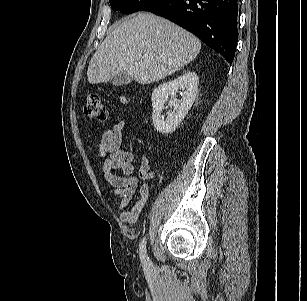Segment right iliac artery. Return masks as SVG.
<instances>
[{
    "label": "right iliac artery",
    "instance_id": "82829eb1",
    "mask_svg": "<svg viewBox=\"0 0 307 301\" xmlns=\"http://www.w3.org/2000/svg\"><path fill=\"white\" fill-rule=\"evenodd\" d=\"M140 259L141 262L145 265L150 263V260L146 253V237H144L140 243Z\"/></svg>",
    "mask_w": 307,
    "mask_h": 301
}]
</instances>
